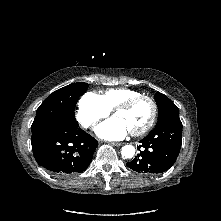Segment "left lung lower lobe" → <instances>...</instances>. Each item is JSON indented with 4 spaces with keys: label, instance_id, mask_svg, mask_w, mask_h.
Segmentation results:
<instances>
[{
    "label": "left lung lower lobe",
    "instance_id": "1",
    "mask_svg": "<svg viewBox=\"0 0 221 221\" xmlns=\"http://www.w3.org/2000/svg\"><path fill=\"white\" fill-rule=\"evenodd\" d=\"M138 154L127 166L138 173H162L175 163L182 143L181 121H166L140 141Z\"/></svg>",
    "mask_w": 221,
    "mask_h": 221
}]
</instances>
